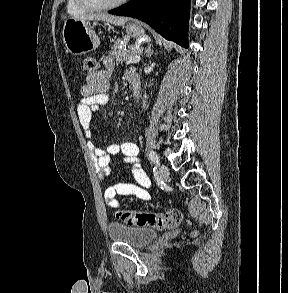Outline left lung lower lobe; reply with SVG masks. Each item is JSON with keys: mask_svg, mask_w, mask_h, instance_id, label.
<instances>
[{"mask_svg": "<svg viewBox=\"0 0 288 293\" xmlns=\"http://www.w3.org/2000/svg\"><path fill=\"white\" fill-rule=\"evenodd\" d=\"M108 13L137 18L165 39L188 47L190 0H131Z\"/></svg>", "mask_w": 288, "mask_h": 293, "instance_id": "left-lung-lower-lobe-1", "label": "left lung lower lobe"}]
</instances>
